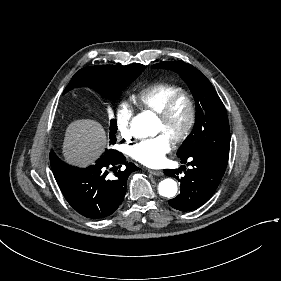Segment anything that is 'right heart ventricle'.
Instances as JSON below:
<instances>
[{"mask_svg": "<svg viewBox=\"0 0 281 281\" xmlns=\"http://www.w3.org/2000/svg\"><path fill=\"white\" fill-rule=\"evenodd\" d=\"M180 93H184V89L178 85L157 83L138 91L133 100L138 109L154 113L160 110L169 98Z\"/></svg>", "mask_w": 281, "mask_h": 281, "instance_id": "e07e8e85", "label": "right heart ventricle"}]
</instances>
